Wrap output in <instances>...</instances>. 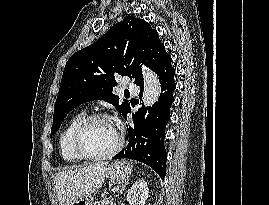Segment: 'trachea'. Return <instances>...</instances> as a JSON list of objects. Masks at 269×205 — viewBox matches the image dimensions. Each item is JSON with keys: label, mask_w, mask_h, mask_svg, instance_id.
I'll return each mask as SVG.
<instances>
[{"label": "trachea", "mask_w": 269, "mask_h": 205, "mask_svg": "<svg viewBox=\"0 0 269 205\" xmlns=\"http://www.w3.org/2000/svg\"><path fill=\"white\" fill-rule=\"evenodd\" d=\"M125 95H130V93L129 92H126Z\"/></svg>", "instance_id": "3493384b"}]
</instances>
